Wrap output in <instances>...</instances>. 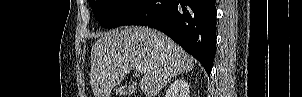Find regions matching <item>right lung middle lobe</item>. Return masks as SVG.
Here are the masks:
<instances>
[{
    "label": "right lung middle lobe",
    "mask_w": 302,
    "mask_h": 97,
    "mask_svg": "<svg viewBox=\"0 0 302 97\" xmlns=\"http://www.w3.org/2000/svg\"><path fill=\"white\" fill-rule=\"evenodd\" d=\"M145 0H89L95 19L101 27L115 28L122 23Z\"/></svg>",
    "instance_id": "1"
}]
</instances>
